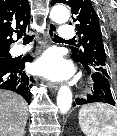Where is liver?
Listing matches in <instances>:
<instances>
[{
    "label": "liver",
    "mask_w": 117,
    "mask_h": 136,
    "mask_svg": "<svg viewBox=\"0 0 117 136\" xmlns=\"http://www.w3.org/2000/svg\"><path fill=\"white\" fill-rule=\"evenodd\" d=\"M28 104L20 95L0 90V136H23Z\"/></svg>",
    "instance_id": "obj_1"
}]
</instances>
